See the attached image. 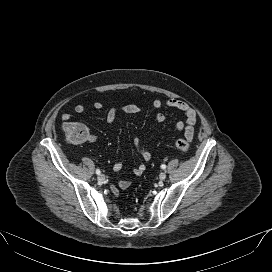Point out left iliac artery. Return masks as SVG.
<instances>
[{
	"label": "left iliac artery",
	"instance_id": "left-iliac-artery-1",
	"mask_svg": "<svg viewBox=\"0 0 272 272\" xmlns=\"http://www.w3.org/2000/svg\"><path fill=\"white\" fill-rule=\"evenodd\" d=\"M161 168H162V169H166V165H165V164H162V165H161Z\"/></svg>",
	"mask_w": 272,
	"mask_h": 272
}]
</instances>
